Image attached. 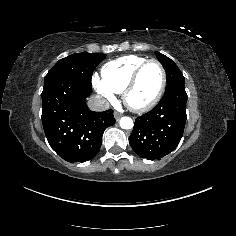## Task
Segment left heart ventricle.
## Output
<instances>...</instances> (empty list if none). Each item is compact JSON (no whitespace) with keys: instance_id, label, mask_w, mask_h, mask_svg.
<instances>
[{"instance_id":"1","label":"left heart ventricle","mask_w":236,"mask_h":236,"mask_svg":"<svg viewBox=\"0 0 236 236\" xmlns=\"http://www.w3.org/2000/svg\"><path fill=\"white\" fill-rule=\"evenodd\" d=\"M161 70L155 63L147 65L129 94V101L133 105H144L156 95L161 83Z\"/></svg>"}]
</instances>
